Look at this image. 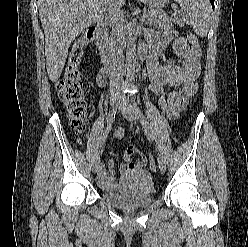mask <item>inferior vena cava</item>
Instances as JSON below:
<instances>
[{
  "label": "inferior vena cava",
  "instance_id": "inferior-vena-cava-1",
  "mask_svg": "<svg viewBox=\"0 0 248 247\" xmlns=\"http://www.w3.org/2000/svg\"><path fill=\"white\" fill-rule=\"evenodd\" d=\"M120 8L121 6L119 4V0H107L104 12L106 23L112 28V33L114 34V37H117L118 43L113 58L119 64L118 71L121 70V64L123 62L121 33H119L123 20Z\"/></svg>",
  "mask_w": 248,
  "mask_h": 247
}]
</instances>
